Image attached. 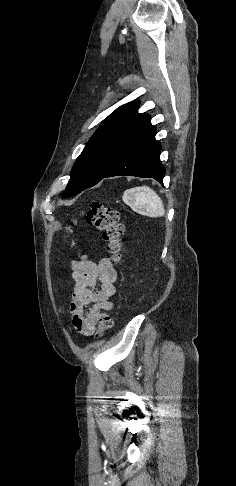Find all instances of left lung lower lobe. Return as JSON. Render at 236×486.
I'll list each match as a JSON object with an SVG mask.
<instances>
[{"label": "left lung lower lobe", "instance_id": "1", "mask_svg": "<svg viewBox=\"0 0 236 486\" xmlns=\"http://www.w3.org/2000/svg\"><path fill=\"white\" fill-rule=\"evenodd\" d=\"M155 134V126L143 132L104 178L120 175L137 176L153 178L163 184L165 168L160 162L161 145L156 141Z\"/></svg>", "mask_w": 236, "mask_h": 486}]
</instances>
